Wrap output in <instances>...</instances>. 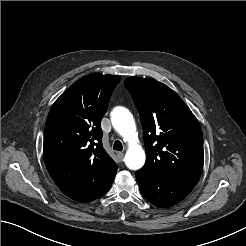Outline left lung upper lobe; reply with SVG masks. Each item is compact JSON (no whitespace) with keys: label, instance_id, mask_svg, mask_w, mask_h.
Segmentation results:
<instances>
[{"label":"left lung upper lobe","instance_id":"obj_1","mask_svg":"<svg viewBox=\"0 0 246 246\" xmlns=\"http://www.w3.org/2000/svg\"><path fill=\"white\" fill-rule=\"evenodd\" d=\"M124 85L144 130L146 162L138 171L194 187L204 163L203 136L196 117L163 83L129 77Z\"/></svg>","mask_w":246,"mask_h":246}]
</instances>
